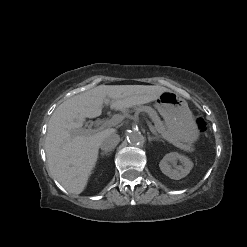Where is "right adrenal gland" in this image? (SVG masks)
Listing matches in <instances>:
<instances>
[{
	"label": "right adrenal gland",
	"mask_w": 247,
	"mask_h": 247,
	"mask_svg": "<svg viewBox=\"0 0 247 247\" xmlns=\"http://www.w3.org/2000/svg\"><path fill=\"white\" fill-rule=\"evenodd\" d=\"M101 155H102V156H105V155L108 156V155H110V154H109L108 152H102Z\"/></svg>",
	"instance_id": "2a0ac1e0"
}]
</instances>
